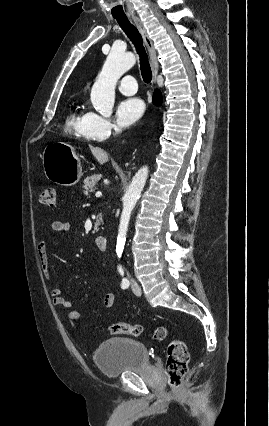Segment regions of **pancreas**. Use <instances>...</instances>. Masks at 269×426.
I'll list each match as a JSON object with an SVG mask.
<instances>
[{"label":"pancreas","mask_w":269,"mask_h":426,"mask_svg":"<svg viewBox=\"0 0 269 426\" xmlns=\"http://www.w3.org/2000/svg\"><path fill=\"white\" fill-rule=\"evenodd\" d=\"M101 177H102L101 174H96V175H92L90 177H87L84 180V185H83L84 195L89 196L90 193L95 192L96 185H97L98 181L101 179ZM101 220H102L101 215H99L96 219V223H95V226H94L93 233L98 231V226L100 225Z\"/></svg>","instance_id":"cf45deb5"}]
</instances>
